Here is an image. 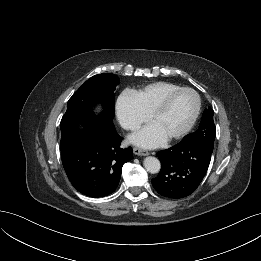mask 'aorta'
<instances>
[{
  "label": "aorta",
  "instance_id": "obj_1",
  "mask_svg": "<svg viewBox=\"0 0 261 261\" xmlns=\"http://www.w3.org/2000/svg\"><path fill=\"white\" fill-rule=\"evenodd\" d=\"M143 164L145 169L151 174L158 173L161 168L160 161L157 158L151 156L146 157Z\"/></svg>",
  "mask_w": 261,
  "mask_h": 261
}]
</instances>
